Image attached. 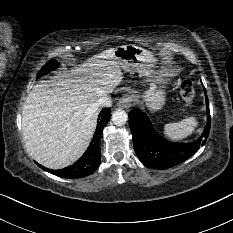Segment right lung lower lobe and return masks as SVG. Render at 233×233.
<instances>
[{
	"label": "right lung lower lobe",
	"mask_w": 233,
	"mask_h": 233,
	"mask_svg": "<svg viewBox=\"0 0 233 233\" xmlns=\"http://www.w3.org/2000/svg\"><path fill=\"white\" fill-rule=\"evenodd\" d=\"M110 117H111V110L109 108H105L100 112L96 131L88 149L83 154V156L73 165L55 171L45 169V167L39 164L38 166L54 175L64 178L74 179V178H82L91 175L98 168L100 164L101 148L99 145V140L101 136V131L108 123Z\"/></svg>",
	"instance_id": "obj_1"
}]
</instances>
